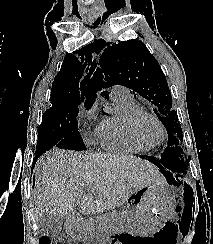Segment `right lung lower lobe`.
Instances as JSON below:
<instances>
[{
	"instance_id": "obj_1",
	"label": "right lung lower lobe",
	"mask_w": 213,
	"mask_h": 244,
	"mask_svg": "<svg viewBox=\"0 0 213 244\" xmlns=\"http://www.w3.org/2000/svg\"><path fill=\"white\" fill-rule=\"evenodd\" d=\"M40 155H41L40 153H37V154H36V157L34 158V160L36 161L37 158L40 157ZM34 164H35V162L33 163V166H34Z\"/></svg>"
}]
</instances>
